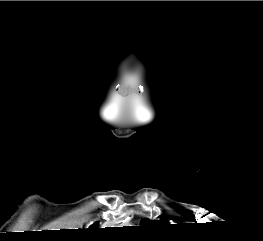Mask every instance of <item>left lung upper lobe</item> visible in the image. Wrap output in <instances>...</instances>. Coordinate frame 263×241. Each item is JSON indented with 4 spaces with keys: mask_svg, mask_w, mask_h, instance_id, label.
<instances>
[{
    "mask_svg": "<svg viewBox=\"0 0 263 241\" xmlns=\"http://www.w3.org/2000/svg\"><path fill=\"white\" fill-rule=\"evenodd\" d=\"M143 223H146L145 225H152V223L156 225V224H160V223H165V220L151 221L148 218H144V219H142V224Z\"/></svg>",
    "mask_w": 263,
    "mask_h": 241,
    "instance_id": "obj_1",
    "label": "left lung upper lobe"
}]
</instances>
